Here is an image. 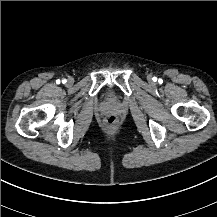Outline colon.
I'll list each match as a JSON object with an SVG mask.
<instances>
[{
  "mask_svg": "<svg viewBox=\"0 0 217 217\" xmlns=\"http://www.w3.org/2000/svg\"><path fill=\"white\" fill-rule=\"evenodd\" d=\"M106 123L109 125V126H114L116 125L117 123V118L115 116H109L107 119H106Z\"/></svg>",
  "mask_w": 217,
  "mask_h": 217,
  "instance_id": "1",
  "label": "colon"
}]
</instances>
